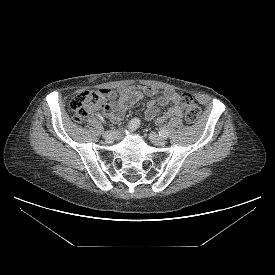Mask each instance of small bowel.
Instances as JSON below:
<instances>
[{
	"label": "small bowel",
	"instance_id": "1",
	"mask_svg": "<svg viewBox=\"0 0 275 275\" xmlns=\"http://www.w3.org/2000/svg\"><path fill=\"white\" fill-rule=\"evenodd\" d=\"M100 92L108 100L103 112L113 121L119 122L123 115L138 101L157 95V98L147 102L145 118L162 123L181 118L182 101L181 95L173 89L166 88L158 91L149 86H121L117 91L101 89ZM168 106V109L160 114L159 108Z\"/></svg>",
	"mask_w": 275,
	"mask_h": 275
}]
</instances>
